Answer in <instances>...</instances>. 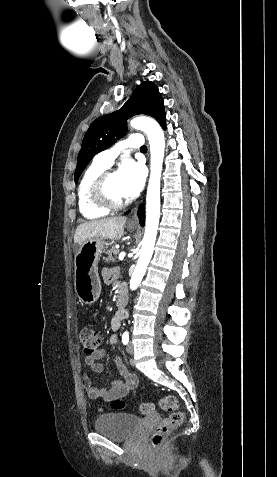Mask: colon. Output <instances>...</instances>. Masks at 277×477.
<instances>
[{
  "label": "colon",
  "mask_w": 277,
  "mask_h": 477,
  "mask_svg": "<svg viewBox=\"0 0 277 477\" xmlns=\"http://www.w3.org/2000/svg\"><path fill=\"white\" fill-rule=\"evenodd\" d=\"M79 338L83 353L87 356L95 353L102 342L101 332L91 325H84L81 328ZM158 403L161 409L169 414L156 425L153 431L151 441L154 447H159L170 432L179 427L184 421V413L180 410L179 401L175 396H164ZM111 407L114 410H121L126 407V403L121 399H116L111 402ZM153 410L154 405L152 403H142L139 405L141 414H149Z\"/></svg>",
  "instance_id": "5ec220e1"
}]
</instances>
